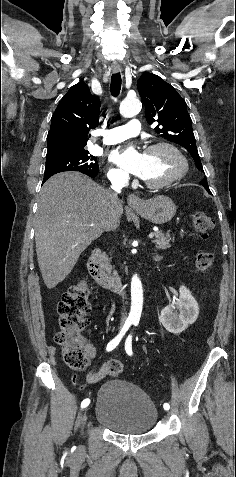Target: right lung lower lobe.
<instances>
[{
	"label": "right lung lower lobe",
	"mask_w": 236,
	"mask_h": 477,
	"mask_svg": "<svg viewBox=\"0 0 236 477\" xmlns=\"http://www.w3.org/2000/svg\"><path fill=\"white\" fill-rule=\"evenodd\" d=\"M48 178H49V177H45V178L43 179V183H44Z\"/></svg>",
	"instance_id": "1"
}]
</instances>
